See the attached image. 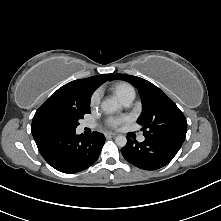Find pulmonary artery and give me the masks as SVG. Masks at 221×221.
<instances>
[{"label": "pulmonary artery", "mask_w": 221, "mask_h": 221, "mask_svg": "<svg viewBox=\"0 0 221 221\" xmlns=\"http://www.w3.org/2000/svg\"><path fill=\"white\" fill-rule=\"evenodd\" d=\"M132 101H133V98H128V99L122 101V104L127 107V106H130V105H131ZM83 127H94V125L91 124V123H85V124H83ZM138 140H139L140 142H143V141L145 140V136H144V135H141V136L138 138Z\"/></svg>", "instance_id": "e3ab8cb5"}]
</instances>
